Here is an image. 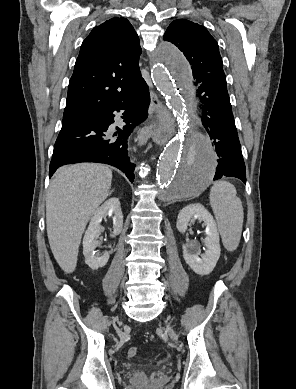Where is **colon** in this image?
<instances>
[{
    "label": "colon",
    "mask_w": 296,
    "mask_h": 389,
    "mask_svg": "<svg viewBox=\"0 0 296 389\" xmlns=\"http://www.w3.org/2000/svg\"><path fill=\"white\" fill-rule=\"evenodd\" d=\"M136 355H137V348L131 347L128 350V356L132 358V357H135Z\"/></svg>",
    "instance_id": "1"
}]
</instances>
